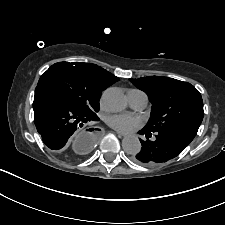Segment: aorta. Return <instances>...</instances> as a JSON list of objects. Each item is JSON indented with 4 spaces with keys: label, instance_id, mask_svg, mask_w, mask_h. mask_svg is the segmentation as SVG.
<instances>
[{
    "label": "aorta",
    "instance_id": "762f6f07",
    "mask_svg": "<svg viewBox=\"0 0 225 225\" xmlns=\"http://www.w3.org/2000/svg\"><path fill=\"white\" fill-rule=\"evenodd\" d=\"M103 103L112 112H120L127 106V99L120 88L112 87L104 91ZM123 150L128 154H136L141 149V143L136 136H126L122 140Z\"/></svg>",
    "mask_w": 225,
    "mask_h": 225
}]
</instances>
